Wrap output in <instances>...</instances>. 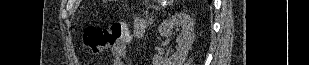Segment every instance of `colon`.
<instances>
[{
    "label": "colon",
    "instance_id": "obj_1",
    "mask_svg": "<svg viewBox=\"0 0 309 65\" xmlns=\"http://www.w3.org/2000/svg\"><path fill=\"white\" fill-rule=\"evenodd\" d=\"M126 32V25L119 22L107 26H90L84 29L82 40L84 45L96 54L115 45Z\"/></svg>",
    "mask_w": 309,
    "mask_h": 65
}]
</instances>
